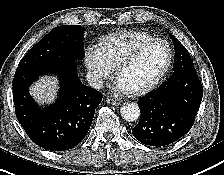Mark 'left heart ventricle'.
<instances>
[{
  "label": "left heart ventricle",
  "mask_w": 224,
  "mask_h": 175,
  "mask_svg": "<svg viewBox=\"0 0 224 175\" xmlns=\"http://www.w3.org/2000/svg\"><path fill=\"white\" fill-rule=\"evenodd\" d=\"M167 56L166 46L155 43L145 49L132 65L124 69L118 79L128 90L145 85L159 73Z\"/></svg>",
  "instance_id": "1"
}]
</instances>
